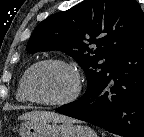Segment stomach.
<instances>
[{
	"mask_svg": "<svg viewBox=\"0 0 144 137\" xmlns=\"http://www.w3.org/2000/svg\"><path fill=\"white\" fill-rule=\"evenodd\" d=\"M18 133L20 137H97L90 127L73 122H26Z\"/></svg>",
	"mask_w": 144,
	"mask_h": 137,
	"instance_id": "0dacf381",
	"label": "stomach"
}]
</instances>
